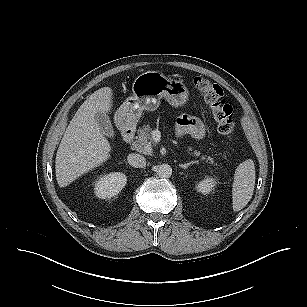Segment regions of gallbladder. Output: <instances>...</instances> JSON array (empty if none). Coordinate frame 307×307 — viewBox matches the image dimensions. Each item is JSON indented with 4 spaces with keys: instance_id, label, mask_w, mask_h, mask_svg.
<instances>
[{
    "instance_id": "1",
    "label": "gallbladder",
    "mask_w": 307,
    "mask_h": 307,
    "mask_svg": "<svg viewBox=\"0 0 307 307\" xmlns=\"http://www.w3.org/2000/svg\"><path fill=\"white\" fill-rule=\"evenodd\" d=\"M95 120L100 128V130L108 137H114V130L110 122L109 117L101 111L95 114Z\"/></svg>"
}]
</instances>
